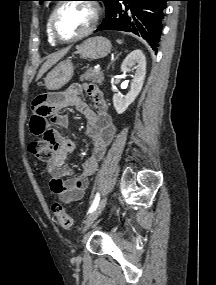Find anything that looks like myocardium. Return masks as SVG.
<instances>
[{"mask_svg":"<svg viewBox=\"0 0 216 285\" xmlns=\"http://www.w3.org/2000/svg\"><path fill=\"white\" fill-rule=\"evenodd\" d=\"M69 3H76V2H70V1L61 2L60 4H58L55 7V9L53 10V12L51 13V16H50L49 27H50L51 35L55 41L60 42V43H72V42H76V41H79V40L86 38L96 29L98 22H99V19H100V7L96 2H93L91 0H85L84 2H80V3L88 4L92 8L93 20H92L91 24L89 25V27L84 32H82L79 35H76V36H73L70 38L61 37L56 31V26H55L56 18H57L59 11L65 5H67Z\"/></svg>","mask_w":216,"mask_h":285,"instance_id":"f54148a6","label":"myocardium"}]
</instances>
